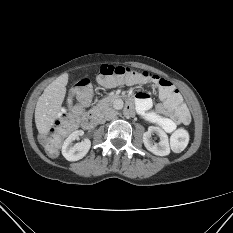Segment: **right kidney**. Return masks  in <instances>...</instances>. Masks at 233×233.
<instances>
[{
  "mask_svg": "<svg viewBox=\"0 0 233 233\" xmlns=\"http://www.w3.org/2000/svg\"><path fill=\"white\" fill-rule=\"evenodd\" d=\"M84 134L82 130H76L72 132L64 141L62 145V155L68 161H78L82 159L89 151L91 142L89 139L72 145V142Z\"/></svg>",
  "mask_w": 233,
  "mask_h": 233,
  "instance_id": "1",
  "label": "right kidney"
}]
</instances>
